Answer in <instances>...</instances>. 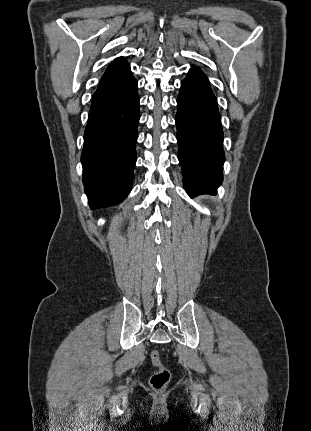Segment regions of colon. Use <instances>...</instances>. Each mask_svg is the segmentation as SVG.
<instances>
[{
    "label": "colon",
    "mask_w": 311,
    "mask_h": 431,
    "mask_svg": "<svg viewBox=\"0 0 311 431\" xmlns=\"http://www.w3.org/2000/svg\"><path fill=\"white\" fill-rule=\"evenodd\" d=\"M150 358L152 364L157 368L150 378V385L154 390L162 391L167 387L170 381L171 373L169 369L162 363L158 350H153L151 352Z\"/></svg>",
    "instance_id": "1"
}]
</instances>
